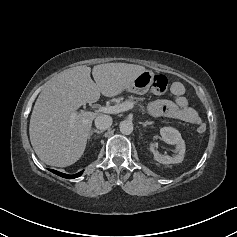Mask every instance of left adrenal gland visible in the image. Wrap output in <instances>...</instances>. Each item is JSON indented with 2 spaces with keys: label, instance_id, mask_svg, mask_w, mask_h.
<instances>
[{
  "label": "left adrenal gland",
  "instance_id": "left-adrenal-gland-1",
  "mask_svg": "<svg viewBox=\"0 0 237 237\" xmlns=\"http://www.w3.org/2000/svg\"><path fill=\"white\" fill-rule=\"evenodd\" d=\"M152 124V122H145V123H142V125H143V127H147V125H151Z\"/></svg>",
  "mask_w": 237,
  "mask_h": 237
}]
</instances>
